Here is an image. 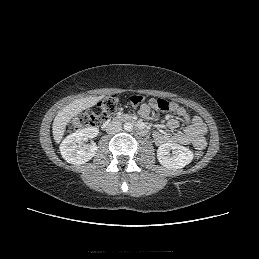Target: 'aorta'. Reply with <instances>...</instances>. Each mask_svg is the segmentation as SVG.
Masks as SVG:
<instances>
[{
	"label": "aorta",
	"instance_id": "obj_1",
	"mask_svg": "<svg viewBox=\"0 0 259 259\" xmlns=\"http://www.w3.org/2000/svg\"><path fill=\"white\" fill-rule=\"evenodd\" d=\"M124 130L125 131H132L133 130V125H132V123H130V122H126L125 124H124Z\"/></svg>",
	"mask_w": 259,
	"mask_h": 259
}]
</instances>
